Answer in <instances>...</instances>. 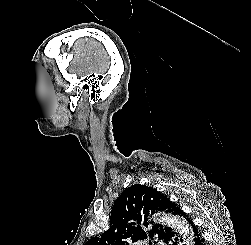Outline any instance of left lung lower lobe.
<instances>
[{"label":"left lung lower lobe","instance_id":"1","mask_svg":"<svg viewBox=\"0 0 251 245\" xmlns=\"http://www.w3.org/2000/svg\"><path fill=\"white\" fill-rule=\"evenodd\" d=\"M181 217L185 218V220H187V224L190 227V231H191V239L190 242L193 245H205L204 243V239L201 235V232L199 231V229L193 224V222L190 220V218L186 215V213H184L183 211L181 212ZM166 243H169V245H180L182 242V239L180 238V236L177 233H171L166 241Z\"/></svg>","mask_w":251,"mask_h":245}]
</instances>
